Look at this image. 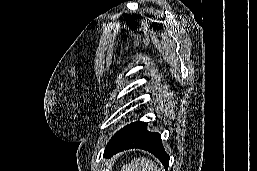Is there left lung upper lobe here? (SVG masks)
<instances>
[{
	"mask_svg": "<svg viewBox=\"0 0 257 171\" xmlns=\"http://www.w3.org/2000/svg\"><path fill=\"white\" fill-rule=\"evenodd\" d=\"M129 125L125 126L124 128L120 129L117 133H115V135L111 138L114 139L115 137H117L121 132H123Z\"/></svg>",
	"mask_w": 257,
	"mask_h": 171,
	"instance_id": "1",
	"label": "left lung upper lobe"
}]
</instances>
